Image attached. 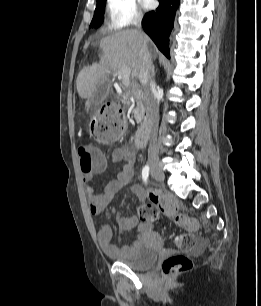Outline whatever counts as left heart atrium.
Listing matches in <instances>:
<instances>
[{"label":"left heart atrium","instance_id":"obj_1","mask_svg":"<svg viewBox=\"0 0 261 306\" xmlns=\"http://www.w3.org/2000/svg\"><path fill=\"white\" fill-rule=\"evenodd\" d=\"M143 7L146 9H151L155 5V0H140Z\"/></svg>","mask_w":261,"mask_h":306}]
</instances>
